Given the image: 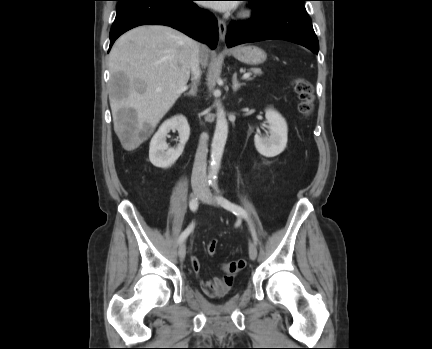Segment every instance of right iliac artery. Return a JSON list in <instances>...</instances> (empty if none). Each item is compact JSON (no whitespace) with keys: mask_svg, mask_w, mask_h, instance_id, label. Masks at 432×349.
<instances>
[{"mask_svg":"<svg viewBox=\"0 0 432 349\" xmlns=\"http://www.w3.org/2000/svg\"><path fill=\"white\" fill-rule=\"evenodd\" d=\"M189 207L191 209V211L195 212L198 208V200L197 198H193L190 203H189ZM194 229V224H190L180 235L179 237V243H182L187 237L188 235L193 231Z\"/></svg>","mask_w":432,"mask_h":349,"instance_id":"obj_1","label":"right iliac artery"}]
</instances>
